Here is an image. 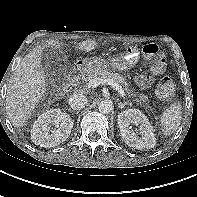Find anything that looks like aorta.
<instances>
[{
  "mask_svg": "<svg viewBox=\"0 0 197 197\" xmlns=\"http://www.w3.org/2000/svg\"><path fill=\"white\" fill-rule=\"evenodd\" d=\"M101 113L109 114L113 110V104L110 100H103L98 104Z\"/></svg>",
  "mask_w": 197,
  "mask_h": 197,
  "instance_id": "obj_1",
  "label": "aorta"
}]
</instances>
